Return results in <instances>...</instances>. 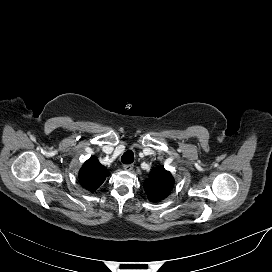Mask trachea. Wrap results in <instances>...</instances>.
Here are the masks:
<instances>
[{"label": "trachea", "instance_id": "obj_1", "mask_svg": "<svg viewBox=\"0 0 272 272\" xmlns=\"http://www.w3.org/2000/svg\"><path fill=\"white\" fill-rule=\"evenodd\" d=\"M133 161L134 154L131 150L126 151L121 157V162L124 164H131Z\"/></svg>", "mask_w": 272, "mask_h": 272}]
</instances>
